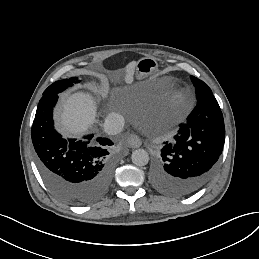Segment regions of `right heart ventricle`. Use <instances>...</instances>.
<instances>
[{
  "label": "right heart ventricle",
  "mask_w": 259,
  "mask_h": 259,
  "mask_svg": "<svg viewBox=\"0 0 259 259\" xmlns=\"http://www.w3.org/2000/svg\"><path fill=\"white\" fill-rule=\"evenodd\" d=\"M145 87V82L135 80L128 87L122 88L123 97L131 104L138 99L139 93Z\"/></svg>",
  "instance_id": "right-heart-ventricle-1"
}]
</instances>
